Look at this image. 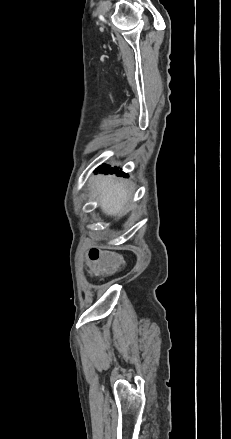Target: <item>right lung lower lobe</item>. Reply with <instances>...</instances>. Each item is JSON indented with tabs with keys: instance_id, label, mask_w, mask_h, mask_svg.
<instances>
[{
	"instance_id": "1",
	"label": "right lung lower lobe",
	"mask_w": 231,
	"mask_h": 439,
	"mask_svg": "<svg viewBox=\"0 0 231 439\" xmlns=\"http://www.w3.org/2000/svg\"><path fill=\"white\" fill-rule=\"evenodd\" d=\"M98 169H100L101 172H104V171L106 170V166L102 165V167H98L97 170H98ZM107 172H111V173H113V172L116 173V172H117L118 175L122 174V175H124L125 177H127V174H124L123 172H121V171L118 170L117 168H115V169H113V168H108V169H107Z\"/></svg>"
}]
</instances>
